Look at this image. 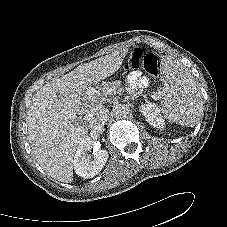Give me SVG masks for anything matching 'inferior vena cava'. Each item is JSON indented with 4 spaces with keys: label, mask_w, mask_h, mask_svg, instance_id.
<instances>
[{
    "label": "inferior vena cava",
    "mask_w": 227,
    "mask_h": 227,
    "mask_svg": "<svg viewBox=\"0 0 227 227\" xmlns=\"http://www.w3.org/2000/svg\"><path fill=\"white\" fill-rule=\"evenodd\" d=\"M108 121V114L106 111H100L96 115H92L89 121V127L91 129H100Z\"/></svg>",
    "instance_id": "obj_1"
}]
</instances>
